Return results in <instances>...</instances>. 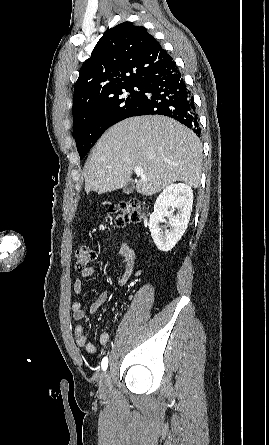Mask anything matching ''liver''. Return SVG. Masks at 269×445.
<instances>
[{"mask_svg": "<svg viewBox=\"0 0 269 445\" xmlns=\"http://www.w3.org/2000/svg\"><path fill=\"white\" fill-rule=\"evenodd\" d=\"M202 145L184 125L164 116H138L109 128L87 161L85 191L103 194L125 187L136 167L138 193L150 196L173 182L200 184Z\"/></svg>", "mask_w": 269, "mask_h": 445, "instance_id": "1", "label": "liver"}]
</instances>
